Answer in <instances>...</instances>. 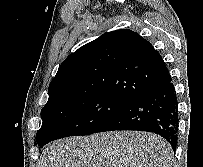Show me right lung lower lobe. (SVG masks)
I'll return each instance as SVG.
<instances>
[{"mask_svg": "<svg viewBox=\"0 0 203 167\" xmlns=\"http://www.w3.org/2000/svg\"><path fill=\"white\" fill-rule=\"evenodd\" d=\"M139 130L159 134L176 149L178 102L171 76L160 86L138 96L95 133Z\"/></svg>", "mask_w": 203, "mask_h": 167, "instance_id": "98d812e1", "label": "right lung lower lobe"}]
</instances>
